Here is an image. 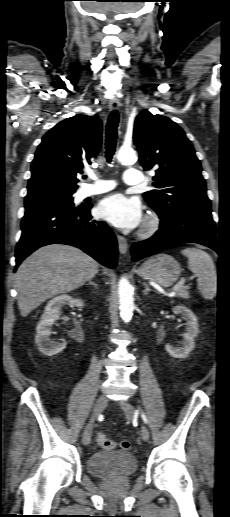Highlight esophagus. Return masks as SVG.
I'll return each instance as SVG.
<instances>
[{"mask_svg":"<svg viewBox=\"0 0 230 517\" xmlns=\"http://www.w3.org/2000/svg\"><path fill=\"white\" fill-rule=\"evenodd\" d=\"M120 101L118 98H112L109 102V108L114 111L118 110L120 107ZM118 247L121 254H126L128 251V243L125 237L121 235H117Z\"/></svg>","mask_w":230,"mask_h":517,"instance_id":"obj_1","label":"esophagus"}]
</instances>
